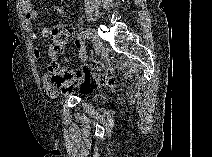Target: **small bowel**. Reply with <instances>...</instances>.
Instances as JSON below:
<instances>
[{
    "label": "small bowel",
    "mask_w": 212,
    "mask_h": 157,
    "mask_svg": "<svg viewBox=\"0 0 212 157\" xmlns=\"http://www.w3.org/2000/svg\"><path fill=\"white\" fill-rule=\"evenodd\" d=\"M21 9H22V15H23V26L26 30V32L30 35V37L34 40L37 41L39 36L35 32L33 28V21L37 17V12L36 10L32 7V4L29 0H23L21 1ZM55 14L58 17H62L65 14V9L62 6H57L55 9ZM50 35V28L45 26L41 29V36L44 38H47ZM75 47L79 52H84L85 51V45L82 42L81 39L77 40L75 42ZM48 56L51 59V61H56L57 56L55 53V50L52 46H49L47 50ZM42 56V50L41 48L37 45L33 49V57L35 59H40ZM91 76L96 77L94 73H90ZM41 81L43 83V89L44 91L50 96V97H55L57 95V88L51 83V76L47 73L42 74L41 76Z\"/></svg>",
    "instance_id": "small-bowel-1"
}]
</instances>
